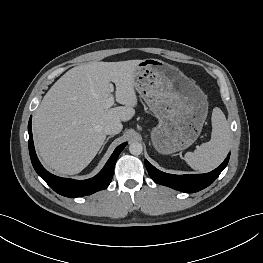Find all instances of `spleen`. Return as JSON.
<instances>
[{"label": "spleen", "instance_id": "spleen-1", "mask_svg": "<svg viewBox=\"0 0 263 263\" xmlns=\"http://www.w3.org/2000/svg\"><path fill=\"white\" fill-rule=\"evenodd\" d=\"M211 140L203 143L194 152L185 154V161L194 170L206 173L218 167L225 159L230 146V128L222 110L212 112Z\"/></svg>", "mask_w": 263, "mask_h": 263}]
</instances>
